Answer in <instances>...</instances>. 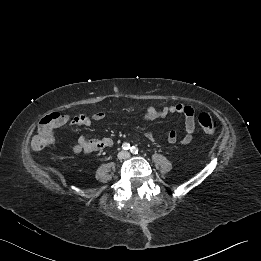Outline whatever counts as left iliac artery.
Segmentation results:
<instances>
[{"label": "left iliac artery", "mask_w": 261, "mask_h": 261, "mask_svg": "<svg viewBox=\"0 0 261 261\" xmlns=\"http://www.w3.org/2000/svg\"><path fill=\"white\" fill-rule=\"evenodd\" d=\"M130 150H131V152H132L133 154H138V151H139L138 148L135 147V146H132Z\"/></svg>", "instance_id": "1"}]
</instances>
